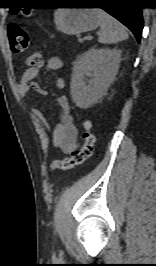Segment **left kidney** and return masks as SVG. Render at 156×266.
Wrapping results in <instances>:
<instances>
[{
	"label": "left kidney",
	"mask_w": 156,
	"mask_h": 266,
	"mask_svg": "<svg viewBox=\"0 0 156 266\" xmlns=\"http://www.w3.org/2000/svg\"><path fill=\"white\" fill-rule=\"evenodd\" d=\"M121 61L118 49H89L76 61L71 78V95L77 107L86 109L106 94ZM85 76L90 77L86 80Z\"/></svg>",
	"instance_id": "5707ae66"
}]
</instances>
